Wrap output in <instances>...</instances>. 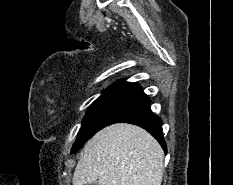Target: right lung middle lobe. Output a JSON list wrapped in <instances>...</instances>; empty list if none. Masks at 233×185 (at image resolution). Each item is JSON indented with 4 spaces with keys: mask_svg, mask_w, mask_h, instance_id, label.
Wrapping results in <instances>:
<instances>
[{
    "mask_svg": "<svg viewBox=\"0 0 233 185\" xmlns=\"http://www.w3.org/2000/svg\"><path fill=\"white\" fill-rule=\"evenodd\" d=\"M129 92L127 90H106L92 103L83 119L80 132L72 147L71 153H76L98 131V126L101 121Z\"/></svg>",
    "mask_w": 233,
    "mask_h": 185,
    "instance_id": "obj_1",
    "label": "right lung middle lobe"
}]
</instances>
